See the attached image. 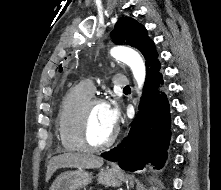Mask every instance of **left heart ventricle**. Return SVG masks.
I'll return each instance as SVG.
<instances>
[{
  "mask_svg": "<svg viewBox=\"0 0 221 190\" xmlns=\"http://www.w3.org/2000/svg\"><path fill=\"white\" fill-rule=\"evenodd\" d=\"M114 131L107 118L106 105L100 104L92 108L88 121V138L92 144L106 141Z\"/></svg>",
  "mask_w": 221,
  "mask_h": 190,
  "instance_id": "obj_1",
  "label": "left heart ventricle"
}]
</instances>
